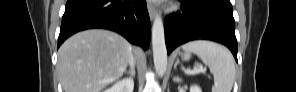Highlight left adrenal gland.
Returning a JSON list of instances; mask_svg holds the SVG:
<instances>
[{
    "instance_id": "obj_1",
    "label": "left adrenal gland",
    "mask_w": 296,
    "mask_h": 92,
    "mask_svg": "<svg viewBox=\"0 0 296 92\" xmlns=\"http://www.w3.org/2000/svg\"><path fill=\"white\" fill-rule=\"evenodd\" d=\"M178 64H180V61H179V59L177 58V59H176V62H175V64H174V69H176V67H177ZM181 67L183 68L182 65H181Z\"/></svg>"
}]
</instances>
